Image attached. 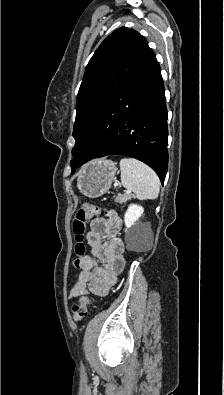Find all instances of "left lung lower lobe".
Wrapping results in <instances>:
<instances>
[{
	"mask_svg": "<svg viewBox=\"0 0 224 395\" xmlns=\"http://www.w3.org/2000/svg\"><path fill=\"white\" fill-rule=\"evenodd\" d=\"M167 137L165 90L153 53L102 113L79 166L110 154L126 155L149 165L163 183L168 169Z\"/></svg>",
	"mask_w": 224,
	"mask_h": 395,
	"instance_id": "obj_1",
	"label": "left lung lower lobe"
}]
</instances>
